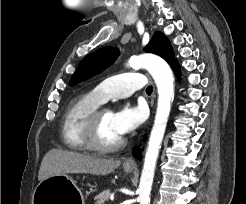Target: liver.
<instances>
[{
	"instance_id": "obj_1",
	"label": "liver",
	"mask_w": 246,
	"mask_h": 204,
	"mask_svg": "<svg viewBox=\"0 0 246 204\" xmlns=\"http://www.w3.org/2000/svg\"><path fill=\"white\" fill-rule=\"evenodd\" d=\"M120 164V160L100 158L61 149H51L43 157L38 180L41 182L54 175L69 173L107 175L117 169Z\"/></svg>"
}]
</instances>
